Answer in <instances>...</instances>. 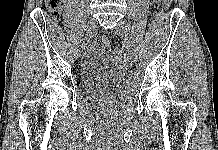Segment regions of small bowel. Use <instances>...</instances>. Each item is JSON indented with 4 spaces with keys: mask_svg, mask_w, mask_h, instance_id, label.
<instances>
[{
    "mask_svg": "<svg viewBox=\"0 0 218 150\" xmlns=\"http://www.w3.org/2000/svg\"><path fill=\"white\" fill-rule=\"evenodd\" d=\"M164 2H165V5H166V6H169L170 3L172 2V0H164Z\"/></svg>",
    "mask_w": 218,
    "mask_h": 150,
    "instance_id": "obj_1",
    "label": "small bowel"
}]
</instances>
